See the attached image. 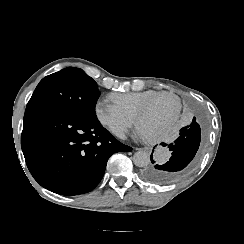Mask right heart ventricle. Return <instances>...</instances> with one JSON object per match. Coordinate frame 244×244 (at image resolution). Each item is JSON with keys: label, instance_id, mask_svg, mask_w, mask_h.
I'll return each instance as SVG.
<instances>
[{"label": "right heart ventricle", "instance_id": "right-heart-ventricle-1", "mask_svg": "<svg viewBox=\"0 0 244 244\" xmlns=\"http://www.w3.org/2000/svg\"><path fill=\"white\" fill-rule=\"evenodd\" d=\"M161 93L162 92H160V91H154V90H147V91H143V92H134L131 94L130 93H127V94L110 93V94H108L107 99L114 104L121 105L128 109H131L132 111H134L136 113V115L139 118V113L141 112L142 105L145 102H147L148 100H150L151 98H153L154 95H160ZM154 103H152V104H154ZM151 105H149V107ZM148 108H147V110H148ZM140 120L141 119L139 118V122H140Z\"/></svg>", "mask_w": 244, "mask_h": 244}]
</instances>
